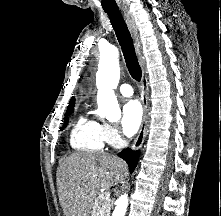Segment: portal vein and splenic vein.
I'll use <instances>...</instances> for the list:
<instances>
[{
    "mask_svg": "<svg viewBox=\"0 0 221 216\" xmlns=\"http://www.w3.org/2000/svg\"><path fill=\"white\" fill-rule=\"evenodd\" d=\"M106 196H109V193H106ZM105 198V197H104Z\"/></svg>",
    "mask_w": 221,
    "mask_h": 216,
    "instance_id": "obj_1",
    "label": "portal vein and splenic vein"
}]
</instances>
